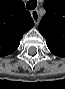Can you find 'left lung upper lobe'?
I'll return each mask as SVG.
<instances>
[{
  "mask_svg": "<svg viewBox=\"0 0 65 89\" xmlns=\"http://www.w3.org/2000/svg\"><path fill=\"white\" fill-rule=\"evenodd\" d=\"M46 15L39 24V32L47 44L65 46V0H45Z\"/></svg>",
  "mask_w": 65,
  "mask_h": 89,
  "instance_id": "left-lung-upper-lobe-1",
  "label": "left lung upper lobe"
}]
</instances>
